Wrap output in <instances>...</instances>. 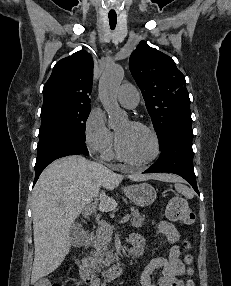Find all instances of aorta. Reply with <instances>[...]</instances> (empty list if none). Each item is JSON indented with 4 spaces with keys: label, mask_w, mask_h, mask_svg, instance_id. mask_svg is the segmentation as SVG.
Instances as JSON below:
<instances>
[{
    "label": "aorta",
    "mask_w": 231,
    "mask_h": 286,
    "mask_svg": "<svg viewBox=\"0 0 231 286\" xmlns=\"http://www.w3.org/2000/svg\"><path fill=\"white\" fill-rule=\"evenodd\" d=\"M124 77V70L119 65H112L105 69L99 82V98L108 114V126L115 128L127 120V114L116 100V91Z\"/></svg>",
    "instance_id": "aorta-1"
}]
</instances>
